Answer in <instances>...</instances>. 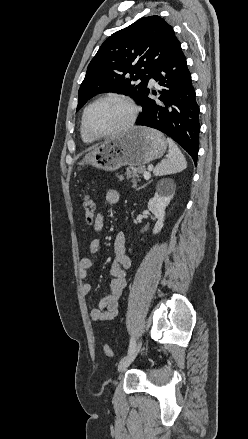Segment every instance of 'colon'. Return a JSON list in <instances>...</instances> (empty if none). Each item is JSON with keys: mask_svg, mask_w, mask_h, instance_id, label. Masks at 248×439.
Here are the masks:
<instances>
[{"mask_svg": "<svg viewBox=\"0 0 248 439\" xmlns=\"http://www.w3.org/2000/svg\"><path fill=\"white\" fill-rule=\"evenodd\" d=\"M83 211H84L85 221L88 224H92L95 220V203H94L93 198L90 195H86L84 197ZM102 350L107 357H109V358L114 357L113 350L107 344H103Z\"/></svg>", "mask_w": 248, "mask_h": 439, "instance_id": "obj_1", "label": "colon"}]
</instances>
